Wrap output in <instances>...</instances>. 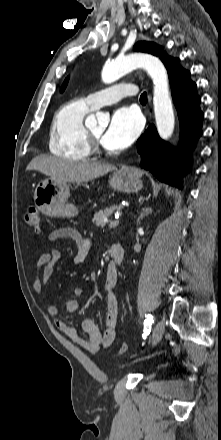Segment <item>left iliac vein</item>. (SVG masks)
Here are the masks:
<instances>
[{
  "mask_svg": "<svg viewBox=\"0 0 221 440\" xmlns=\"http://www.w3.org/2000/svg\"><path fill=\"white\" fill-rule=\"evenodd\" d=\"M164 330H165L164 321H162V320L158 321L154 330H153V334H152L153 345H155L156 343H158L161 340V338L164 334Z\"/></svg>",
  "mask_w": 221,
  "mask_h": 440,
  "instance_id": "obj_1",
  "label": "left iliac vein"
}]
</instances>
